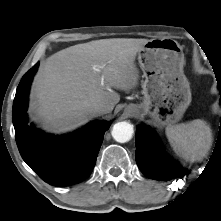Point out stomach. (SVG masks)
Returning a JSON list of instances; mask_svg holds the SVG:
<instances>
[{
	"label": "stomach",
	"mask_w": 221,
	"mask_h": 221,
	"mask_svg": "<svg viewBox=\"0 0 221 221\" xmlns=\"http://www.w3.org/2000/svg\"><path fill=\"white\" fill-rule=\"evenodd\" d=\"M138 61L145 78L144 99L137 108L140 117L149 116L159 127L177 123L191 103L189 82L184 75L182 46L174 39H151L138 53Z\"/></svg>",
	"instance_id": "0dacf381"
}]
</instances>
